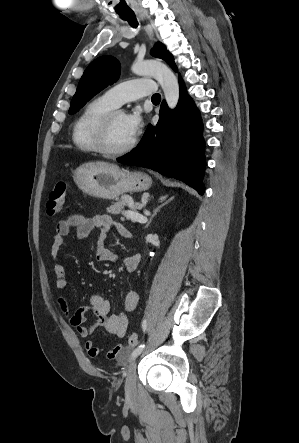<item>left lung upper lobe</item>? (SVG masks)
<instances>
[{
  "label": "left lung upper lobe",
  "mask_w": 299,
  "mask_h": 443,
  "mask_svg": "<svg viewBox=\"0 0 299 443\" xmlns=\"http://www.w3.org/2000/svg\"><path fill=\"white\" fill-rule=\"evenodd\" d=\"M151 54L154 57L165 60L175 71L177 68L173 56L166 50L165 46L157 43ZM120 66L118 61L111 56H102L95 59L84 71L77 91L71 100L70 114H75L94 95L104 89L107 85L114 83L119 78Z\"/></svg>",
  "instance_id": "5c2ea615"
}]
</instances>
